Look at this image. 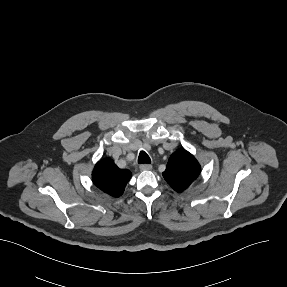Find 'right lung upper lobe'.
Here are the masks:
<instances>
[{"label":"right lung upper lobe","instance_id":"cb5924a9","mask_svg":"<svg viewBox=\"0 0 287 287\" xmlns=\"http://www.w3.org/2000/svg\"><path fill=\"white\" fill-rule=\"evenodd\" d=\"M130 178L131 172L118 168L110 158L99 161L92 173V180L95 186L114 197L122 195Z\"/></svg>","mask_w":287,"mask_h":287}]
</instances>
